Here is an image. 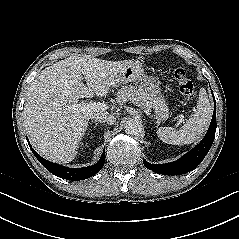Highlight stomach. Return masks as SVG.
I'll return each mask as SVG.
<instances>
[{"mask_svg": "<svg viewBox=\"0 0 239 239\" xmlns=\"http://www.w3.org/2000/svg\"><path fill=\"white\" fill-rule=\"evenodd\" d=\"M129 82H140L146 92H149L150 108L155 111L158 121H165L169 116L166 100L163 98L159 88V82L153 76L146 75L142 64L138 60H129L122 67L115 79V87Z\"/></svg>", "mask_w": 239, "mask_h": 239, "instance_id": "stomach-1", "label": "stomach"}]
</instances>
